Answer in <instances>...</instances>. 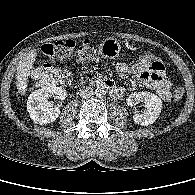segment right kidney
Wrapping results in <instances>:
<instances>
[{"label": "right kidney", "mask_w": 195, "mask_h": 195, "mask_svg": "<svg viewBox=\"0 0 195 195\" xmlns=\"http://www.w3.org/2000/svg\"><path fill=\"white\" fill-rule=\"evenodd\" d=\"M65 99L67 92L62 87H44L32 92L27 101V110L35 124L45 125L54 122L60 114L58 107H54L49 98Z\"/></svg>", "instance_id": "1"}]
</instances>
